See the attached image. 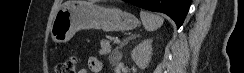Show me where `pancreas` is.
Returning a JSON list of instances; mask_svg holds the SVG:
<instances>
[{
	"label": "pancreas",
	"mask_w": 244,
	"mask_h": 73,
	"mask_svg": "<svg viewBox=\"0 0 244 73\" xmlns=\"http://www.w3.org/2000/svg\"><path fill=\"white\" fill-rule=\"evenodd\" d=\"M111 53V44L110 41L108 39H103L100 42V50H99V54L100 55H108Z\"/></svg>",
	"instance_id": "cf45deb5"
}]
</instances>
